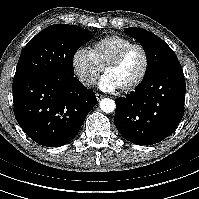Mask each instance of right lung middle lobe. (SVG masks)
<instances>
[{
	"label": "right lung middle lobe",
	"instance_id": "1",
	"mask_svg": "<svg viewBox=\"0 0 199 199\" xmlns=\"http://www.w3.org/2000/svg\"><path fill=\"white\" fill-rule=\"evenodd\" d=\"M92 37L89 30L74 25L54 24L45 28L21 52L14 79L48 73L74 77V54Z\"/></svg>",
	"mask_w": 199,
	"mask_h": 199
}]
</instances>
